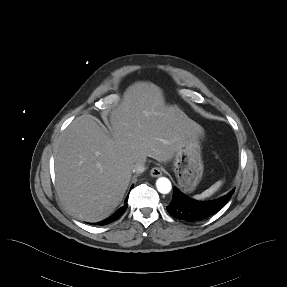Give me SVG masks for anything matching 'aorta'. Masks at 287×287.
Instances as JSON below:
<instances>
[{"mask_svg": "<svg viewBox=\"0 0 287 287\" xmlns=\"http://www.w3.org/2000/svg\"><path fill=\"white\" fill-rule=\"evenodd\" d=\"M156 187L161 194H168L172 189V184L168 178L160 177L156 181Z\"/></svg>", "mask_w": 287, "mask_h": 287, "instance_id": "obj_1", "label": "aorta"}]
</instances>
